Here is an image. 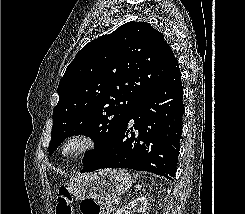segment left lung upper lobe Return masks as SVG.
Returning <instances> with one entry per match:
<instances>
[{
	"mask_svg": "<svg viewBox=\"0 0 245 214\" xmlns=\"http://www.w3.org/2000/svg\"><path fill=\"white\" fill-rule=\"evenodd\" d=\"M177 65L163 34L146 22L125 23L86 44L59 82L49 155L66 138L83 134L95 142L86 163Z\"/></svg>",
	"mask_w": 245,
	"mask_h": 214,
	"instance_id": "left-lung-upper-lobe-1",
	"label": "left lung upper lobe"
}]
</instances>
